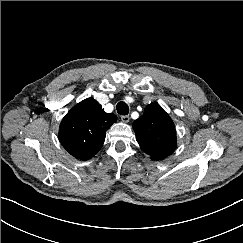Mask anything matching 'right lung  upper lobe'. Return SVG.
<instances>
[{"label":"right lung upper lobe","instance_id":"1","mask_svg":"<svg viewBox=\"0 0 243 243\" xmlns=\"http://www.w3.org/2000/svg\"><path fill=\"white\" fill-rule=\"evenodd\" d=\"M116 120V115L105 113L96 100L85 99L61 121L60 143L72 156L88 160L101 149L106 131Z\"/></svg>","mask_w":243,"mask_h":243}]
</instances>
